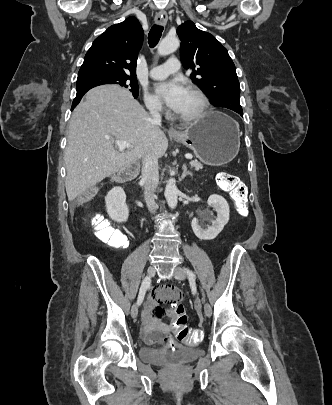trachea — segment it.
<instances>
[{
	"label": "trachea",
	"instance_id": "1",
	"mask_svg": "<svg viewBox=\"0 0 332 405\" xmlns=\"http://www.w3.org/2000/svg\"><path fill=\"white\" fill-rule=\"evenodd\" d=\"M162 31H163V27L159 26V25H154L150 29V32L148 35V43L151 48H154L158 44Z\"/></svg>",
	"mask_w": 332,
	"mask_h": 405
}]
</instances>
